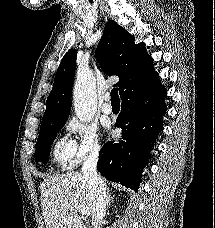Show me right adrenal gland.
<instances>
[{
    "mask_svg": "<svg viewBox=\"0 0 215 228\" xmlns=\"http://www.w3.org/2000/svg\"><path fill=\"white\" fill-rule=\"evenodd\" d=\"M112 202H114V196H108L107 198V206H111Z\"/></svg>",
    "mask_w": 215,
    "mask_h": 228,
    "instance_id": "right-adrenal-gland-1",
    "label": "right adrenal gland"
}]
</instances>
